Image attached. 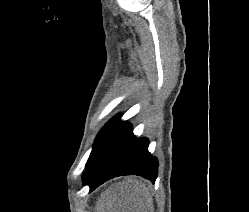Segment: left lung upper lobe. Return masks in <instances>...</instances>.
I'll return each instance as SVG.
<instances>
[{
  "instance_id": "obj_1",
  "label": "left lung upper lobe",
  "mask_w": 249,
  "mask_h": 212,
  "mask_svg": "<svg viewBox=\"0 0 249 212\" xmlns=\"http://www.w3.org/2000/svg\"><path fill=\"white\" fill-rule=\"evenodd\" d=\"M120 115L114 117L112 120H110L103 128L102 130L99 132V134L96 137V141L94 143L92 152L90 154V157L92 156L94 150L96 149L97 145L99 144V142L101 141V139L103 138V136L107 133V131L113 126V124L119 119ZM89 157V159H90ZM88 159V160H89ZM88 162V161H87ZM87 164V163H86Z\"/></svg>"
}]
</instances>
